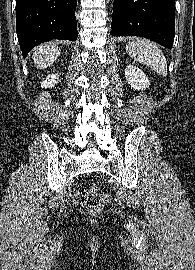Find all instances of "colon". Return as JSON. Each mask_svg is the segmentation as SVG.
<instances>
[{
    "instance_id": "obj_1",
    "label": "colon",
    "mask_w": 195,
    "mask_h": 270,
    "mask_svg": "<svg viewBox=\"0 0 195 270\" xmlns=\"http://www.w3.org/2000/svg\"><path fill=\"white\" fill-rule=\"evenodd\" d=\"M98 193V188L96 186H91L88 189H80L76 191L73 195V201L75 204H83L86 202L89 195H96ZM110 202V197L108 195L101 196V203L108 204ZM102 212L101 204H94L90 208L91 215H99Z\"/></svg>"
}]
</instances>
